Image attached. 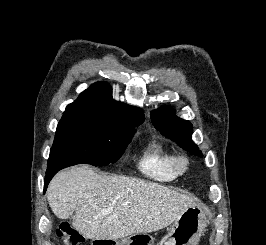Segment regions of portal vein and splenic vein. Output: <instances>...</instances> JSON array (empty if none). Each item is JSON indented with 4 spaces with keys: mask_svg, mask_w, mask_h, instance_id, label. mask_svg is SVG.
Wrapping results in <instances>:
<instances>
[{
    "mask_svg": "<svg viewBox=\"0 0 266 245\" xmlns=\"http://www.w3.org/2000/svg\"><path fill=\"white\" fill-rule=\"evenodd\" d=\"M101 213H106V215H108V213H113V209H103Z\"/></svg>",
    "mask_w": 266,
    "mask_h": 245,
    "instance_id": "portal-vein-and-splenic-vein-1",
    "label": "portal vein and splenic vein"
}]
</instances>
